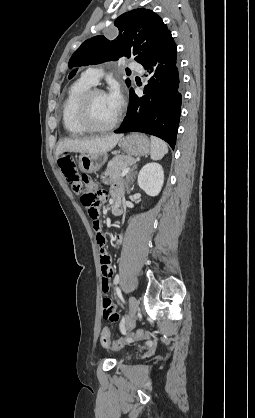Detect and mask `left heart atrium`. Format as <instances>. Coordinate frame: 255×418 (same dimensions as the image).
<instances>
[{
    "label": "left heart atrium",
    "mask_w": 255,
    "mask_h": 418,
    "mask_svg": "<svg viewBox=\"0 0 255 418\" xmlns=\"http://www.w3.org/2000/svg\"><path fill=\"white\" fill-rule=\"evenodd\" d=\"M107 99L111 106L118 112L121 107L123 106L124 99L123 96L118 88H113L111 91L107 94Z\"/></svg>",
    "instance_id": "obj_1"
}]
</instances>
